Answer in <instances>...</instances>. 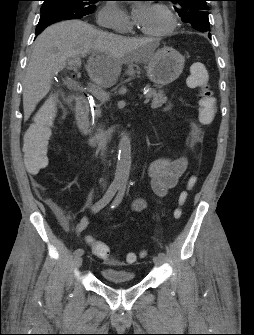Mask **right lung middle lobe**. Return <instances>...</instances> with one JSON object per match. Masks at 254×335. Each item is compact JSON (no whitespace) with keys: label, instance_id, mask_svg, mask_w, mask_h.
Instances as JSON below:
<instances>
[{"label":"right lung middle lobe","instance_id":"dd1d6c3e","mask_svg":"<svg viewBox=\"0 0 254 335\" xmlns=\"http://www.w3.org/2000/svg\"><path fill=\"white\" fill-rule=\"evenodd\" d=\"M41 13L51 10H64L78 16L91 14L100 0H43Z\"/></svg>","mask_w":254,"mask_h":335}]
</instances>
